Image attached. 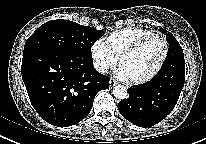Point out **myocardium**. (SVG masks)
Wrapping results in <instances>:
<instances>
[{
	"mask_svg": "<svg viewBox=\"0 0 206 144\" xmlns=\"http://www.w3.org/2000/svg\"><path fill=\"white\" fill-rule=\"evenodd\" d=\"M154 40L160 41V43L162 44V47H163V52H162V56L160 58V61L157 64V66L155 67V69L147 76L140 78V79H131V82L135 85H143V84L149 83L159 75V73L161 72L162 68L165 65V62H166L168 54H169V44H168L167 40L162 36L154 34V35L145 37V38L129 45L118 56V61L121 64L122 60L125 57L137 52L142 47H144L145 45H147L148 43H150L151 41H154Z\"/></svg>",
	"mask_w": 206,
	"mask_h": 144,
	"instance_id": "f54148a6",
	"label": "myocardium"
}]
</instances>
